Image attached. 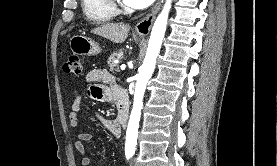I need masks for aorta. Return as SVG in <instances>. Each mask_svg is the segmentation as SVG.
<instances>
[{
    "label": "aorta",
    "instance_id": "aorta-1",
    "mask_svg": "<svg viewBox=\"0 0 277 166\" xmlns=\"http://www.w3.org/2000/svg\"><path fill=\"white\" fill-rule=\"evenodd\" d=\"M172 0H166L163 10L158 15L152 28L146 56L139 73L136 76V87L133 108L131 111L127 132L126 150L134 151L137 143L139 121L143 105V97L149 79L151 78L160 52L162 41L167 27L168 14L171 9Z\"/></svg>",
    "mask_w": 277,
    "mask_h": 166
}]
</instances>
